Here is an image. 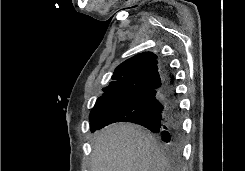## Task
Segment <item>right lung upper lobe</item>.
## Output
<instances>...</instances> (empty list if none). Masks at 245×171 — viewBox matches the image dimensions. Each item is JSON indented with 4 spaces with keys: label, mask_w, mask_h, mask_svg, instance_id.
I'll return each instance as SVG.
<instances>
[{
    "label": "right lung upper lobe",
    "mask_w": 245,
    "mask_h": 171,
    "mask_svg": "<svg viewBox=\"0 0 245 171\" xmlns=\"http://www.w3.org/2000/svg\"><path fill=\"white\" fill-rule=\"evenodd\" d=\"M163 66L152 52H143L127 59L115 69L111 78L113 81L103 88L104 94L97 102L113 98L128 100L160 89L164 85Z\"/></svg>",
    "instance_id": "right-lung-upper-lobe-1"
}]
</instances>
